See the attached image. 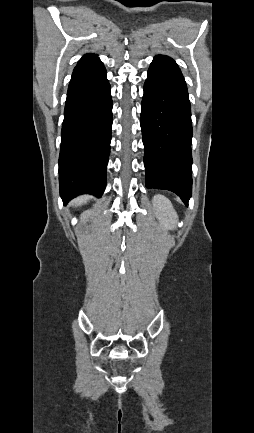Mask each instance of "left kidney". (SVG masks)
<instances>
[{
    "label": "left kidney",
    "instance_id": "obj_1",
    "mask_svg": "<svg viewBox=\"0 0 254 433\" xmlns=\"http://www.w3.org/2000/svg\"><path fill=\"white\" fill-rule=\"evenodd\" d=\"M155 214L160 224L165 229H173L176 226L178 218L171 202L162 195H155L152 199Z\"/></svg>",
    "mask_w": 254,
    "mask_h": 433
}]
</instances>
